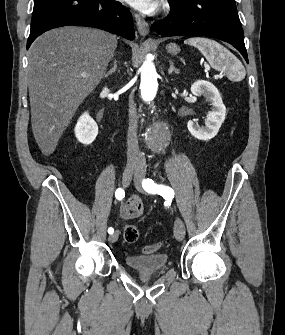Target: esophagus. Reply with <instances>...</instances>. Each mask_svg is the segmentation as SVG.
Returning <instances> with one entry per match:
<instances>
[{
	"instance_id": "esophagus-1",
	"label": "esophagus",
	"mask_w": 285,
	"mask_h": 335,
	"mask_svg": "<svg viewBox=\"0 0 285 335\" xmlns=\"http://www.w3.org/2000/svg\"><path fill=\"white\" fill-rule=\"evenodd\" d=\"M135 21H136L138 32L141 35H147L150 31V27L148 23L137 14H135Z\"/></svg>"
}]
</instances>
